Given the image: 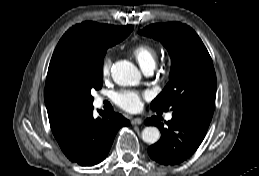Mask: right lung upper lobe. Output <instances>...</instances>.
Masks as SVG:
<instances>
[{"instance_id":"right-lung-upper-lobe-1","label":"right lung upper lobe","mask_w":259,"mask_h":176,"mask_svg":"<svg viewBox=\"0 0 259 176\" xmlns=\"http://www.w3.org/2000/svg\"><path fill=\"white\" fill-rule=\"evenodd\" d=\"M132 30L133 26L131 25L119 27L86 21L73 26L62 36L49 64L44 91L51 127L90 107L62 62V51L68 40L75 34H83L92 40H123Z\"/></svg>"}]
</instances>
